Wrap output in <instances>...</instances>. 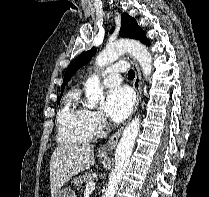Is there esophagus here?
Returning <instances> with one entry per match:
<instances>
[{
	"mask_svg": "<svg viewBox=\"0 0 209 197\" xmlns=\"http://www.w3.org/2000/svg\"><path fill=\"white\" fill-rule=\"evenodd\" d=\"M129 60L133 66V69H134V72H135V78H134V81H133V87L136 91V95H137V98H136V102H135V105H134V108H133V112H132V115L136 112L137 110V107L139 105V102L141 100V94H142V81H141V71H140V68L136 62V60L132 57H129ZM132 115L130 117V119L132 118ZM129 119V120H130ZM124 129V126H122L120 129H118L112 136L111 138L109 139V141L103 145V149L105 151H111L114 149V147L116 146L121 134H122V131Z\"/></svg>",
	"mask_w": 209,
	"mask_h": 197,
	"instance_id": "1",
	"label": "esophagus"
}]
</instances>
